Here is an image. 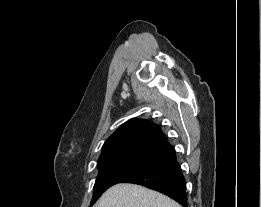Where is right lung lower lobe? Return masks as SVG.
<instances>
[{
    "label": "right lung lower lobe",
    "mask_w": 261,
    "mask_h": 207,
    "mask_svg": "<svg viewBox=\"0 0 261 207\" xmlns=\"http://www.w3.org/2000/svg\"><path fill=\"white\" fill-rule=\"evenodd\" d=\"M125 183L139 184L154 189L171 197L183 207H187L185 179L176 156L129 178Z\"/></svg>",
    "instance_id": "1"
}]
</instances>
